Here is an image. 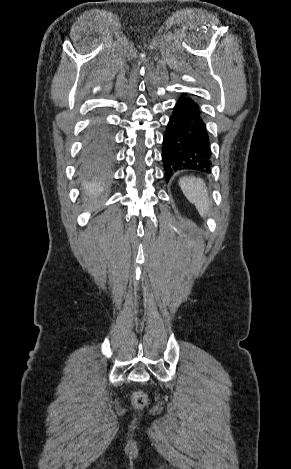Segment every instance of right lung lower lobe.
Listing matches in <instances>:
<instances>
[{
    "label": "right lung lower lobe",
    "mask_w": 291,
    "mask_h": 469,
    "mask_svg": "<svg viewBox=\"0 0 291 469\" xmlns=\"http://www.w3.org/2000/svg\"><path fill=\"white\" fill-rule=\"evenodd\" d=\"M113 162V141L101 123H92L86 130L80 165L88 170H107Z\"/></svg>",
    "instance_id": "right-lung-lower-lobe-1"
}]
</instances>
